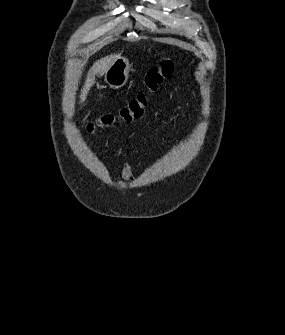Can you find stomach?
Listing matches in <instances>:
<instances>
[{
    "label": "stomach",
    "mask_w": 285,
    "mask_h": 335,
    "mask_svg": "<svg viewBox=\"0 0 285 335\" xmlns=\"http://www.w3.org/2000/svg\"><path fill=\"white\" fill-rule=\"evenodd\" d=\"M129 72V60H127V58H122V56H118L113 64L109 66L108 70H106L104 74V82H106L110 88L118 90V88H122V86H125L126 82H128Z\"/></svg>",
    "instance_id": "0dacf381"
}]
</instances>
